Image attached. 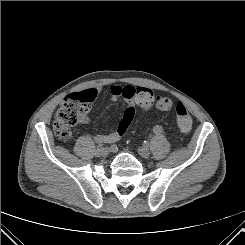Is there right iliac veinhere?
I'll return each mask as SVG.
<instances>
[{"label":"right iliac vein","mask_w":245,"mask_h":245,"mask_svg":"<svg viewBox=\"0 0 245 245\" xmlns=\"http://www.w3.org/2000/svg\"><path fill=\"white\" fill-rule=\"evenodd\" d=\"M108 154H109V150L108 153H103L102 149L98 152V156L106 157Z\"/></svg>","instance_id":"obj_1"}]
</instances>
